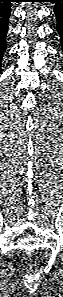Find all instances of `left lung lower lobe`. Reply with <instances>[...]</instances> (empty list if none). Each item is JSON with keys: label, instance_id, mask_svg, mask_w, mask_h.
Instances as JSON below:
<instances>
[{"label": "left lung lower lobe", "instance_id": "left-lung-lower-lobe-1", "mask_svg": "<svg viewBox=\"0 0 63 297\" xmlns=\"http://www.w3.org/2000/svg\"><path fill=\"white\" fill-rule=\"evenodd\" d=\"M55 2V16L57 19V31L61 37L62 49H63V0H51Z\"/></svg>", "mask_w": 63, "mask_h": 297}]
</instances>
